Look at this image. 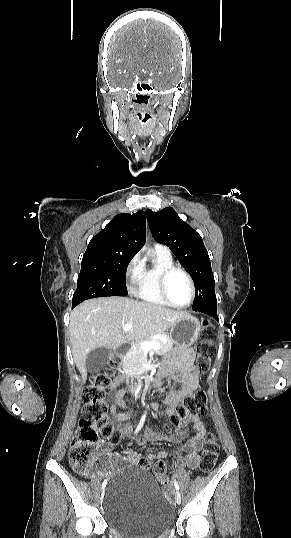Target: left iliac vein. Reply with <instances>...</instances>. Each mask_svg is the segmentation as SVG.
Here are the masks:
<instances>
[{
  "instance_id": "left-iliac-vein-1",
  "label": "left iliac vein",
  "mask_w": 291,
  "mask_h": 538,
  "mask_svg": "<svg viewBox=\"0 0 291 538\" xmlns=\"http://www.w3.org/2000/svg\"><path fill=\"white\" fill-rule=\"evenodd\" d=\"M176 502H177V504L181 503V495H180L179 492H177V494H176Z\"/></svg>"
}]
</instances>
